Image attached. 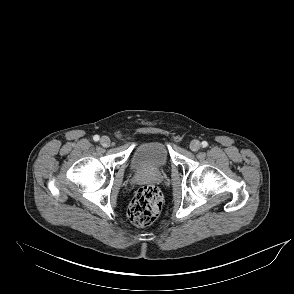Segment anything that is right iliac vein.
Instances as JSON below:
<instances>
[{"instance_id":"63e3f726","label":"right iliac vein","mask_w":294,"mask_h":294,"mask_svg":"<svg viewBox=\"0 0 294 294\" xmlns=\"http://www.w3.org/2000/svg\"><path fill=\"white\" fill-rule=\"evenodd\" d=\"M100 143L103 147H108L111 143V140L108 136H102L100 139Z\"/></svg>"}]
</instances>
